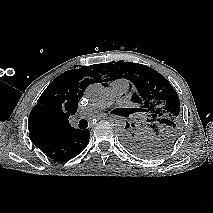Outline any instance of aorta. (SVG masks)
Wrapping results in <instances>:
<instances>
[{
	"label": "aorta",
	"instance_id": "aorta-1",
	"mask_svg": "<svg viewBox=\"0 0 213 213\" xmlns=\"http://www.w3.org/2000/svg\"><path fill=\"white\" fill-rule=\"evenodd\" d=\"M86 94L92 100L104 98L107 94L106 88L100 83L90 84L86 89ZM112 126L118 132H123L126 127V119L124 117H116L112 121Z\"/></svg>",
	"mask_w": 213,
	"mask_h": 213
}]
</instances>
